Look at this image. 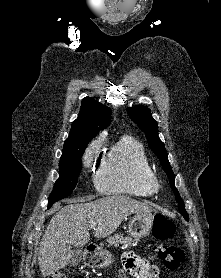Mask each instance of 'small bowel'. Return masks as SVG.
<instances>
[{"label": "small bowel", "instance_id": "1", "mask_svg": "<svg viewBox=\"0 0 221 278\" xmlns=\"http://www.w3.org/2000/svg\"><path fill=\"white\" fill-rule=\"evenodd\" d=\"M123 268L119 272V278H153V266L149 260L136 255L133 252L123 254Z\"/></svg>", "mask_w": 221, "mask_h": 278}]
</instances>
